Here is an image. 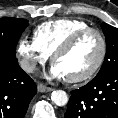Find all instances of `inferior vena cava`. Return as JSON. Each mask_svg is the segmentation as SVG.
Masks as SVG:
<instances>
[{
    "instance_id": "1",
    "label": "inferior vena cava",
    "mask_w": 118,
    "mask_h": 118,
    "mask_svg": "<svg viewBox=\"0 0 118 118\" xmlns=\"http://www.w3.org/2000/svg\"><path fill=\"white\" fill-rule=\"evenodd\" d=\"M21 68L28 73H32L36 69V63L31 59H24L21 61Z\"/></svg>"
}]
</instances>
